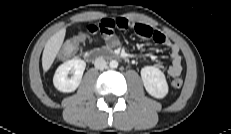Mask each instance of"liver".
Returning <instances> with one entry per match:
<instances>
[{"label": "liver", "instance_id": "6515ba94", "mask_svg": "<svg viewBox=\"0 0 231 134\" xmlns=\"http://www.w3.org/2000/svg\"><path fill=\"white\" fill-rule=\"evenodd\" d=\"M66 34V29L63 28L56 32L45 44L42 54V67L46 72L50 69L53 64L61 46L63 44Z\"/></svg>", "mask_w": 231, "mask_h": 134}]
</instances>
